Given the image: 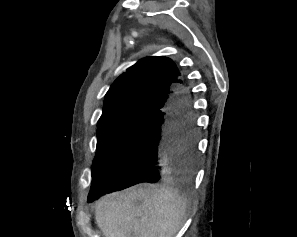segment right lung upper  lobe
Returning <instances> with one entry per match:
<instances>
[{"label": "right lung upper lobe", "instance_id": "obj_1", "mask_svg": "<svg viewBox=\"0 0 297 237\" xmlns=\"http://www.w3.org/2000/svg\"><path fill=\"white\" fill-rule=\"evenodd\" d=\"M179 71L166 57H147L127 69L105 95L98 126L127 116L149 115L166 108L182 88Z\"/></svg>", "mask_w": 297, "mask_h": 237}]
</instances>
